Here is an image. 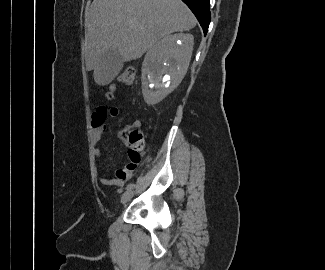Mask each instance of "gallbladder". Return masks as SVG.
I'll list each match as a JSON object with an SVG mask.
<instances>
[{
    "label": "gallbladder",
    "mask_w": 325,
    "mask_h": 270,
    "mask_svg": "<svg viewBox=\"0 0 325 270\" xmlns=\"http://www.w3.org/2000/svg\"><path fill=\"white\" fill-rule=\"evenodd\" d=\"M123 68V59L117 50H108L102 54L97 72L108 80H113Z\"/></svg>",
    "instance_id": "1"
}]
</instances>
